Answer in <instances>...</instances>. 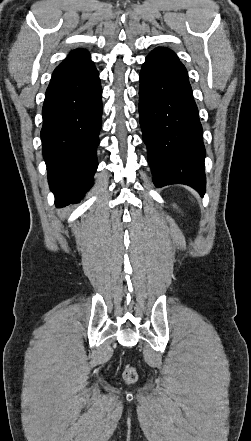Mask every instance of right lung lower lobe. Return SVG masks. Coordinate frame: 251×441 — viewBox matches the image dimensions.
I'll return each mask as SVG.
<instances>
[{
	"label": "right lung lower lobe",
	"instance_id": "obj_1",
	"mask_svg": "<svg viewBox=\"0 0 251 441\" xmlns=\"http://www.w3.org/2000/svg\"><path fill=\"white\" fill-rule=\"evenodd\" d=\"M94 65L54 71L42 109V152L57 206L79 201L93 184L102 117Z\"/></svg>",
	"mask_w": 251,
	"mask_h": 441
}]
</instances>
